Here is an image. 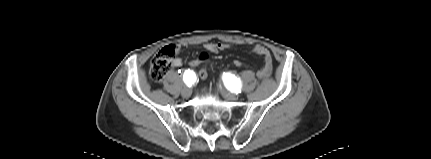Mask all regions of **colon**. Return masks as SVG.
I'll use <instances>...</instances> for the list:
<instances>
[{"mask_svg": "<svg viewBox=\"0 0 431 159\" xmlns=\"http://www.w3.org/2000/svg\"><path fill=\"white\" fill-rule=\"evenodd\" d=\"M174 53H175L174 47H167L153 57V59L150 62V76L154 81H157V82L161 81L171 70V67H172L171 56L174 55ZM211 59H212L211 52L200 51V53L198 54V58L189 59L188 67L191 70H195L199 68V71H198L199 79L207 80L208 70H209L208 62L211 61ZM234 67L246 68L248 70L250 69L254 75L257 73L254 67L249 66L247 64H243V62L240 60L234 61Z\"/></svg>", "mask_w": 431, "mask_h": 159, "instance_id": "obj_1", "label": "colon"}]
</instances>
